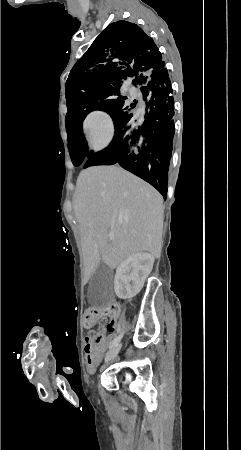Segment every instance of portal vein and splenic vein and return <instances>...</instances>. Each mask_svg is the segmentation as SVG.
<instances>
[{"label":"portal vein and splenic vein","instance_id":"1","mask_svg":"<svg viewBox=\"0 0 241 450\" xmlns=\"http://www.w3.org/2000/svg\"><path fill=\"white\" fill-rule=\"evenodd\" d=\"M109 238H110V240H112V238H114V234H113V232H110V234H109Z\"/></svg>","mask_w":241,"mask_h":450}]
</instances>
